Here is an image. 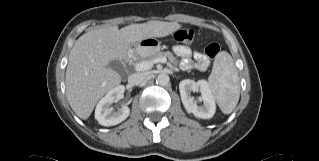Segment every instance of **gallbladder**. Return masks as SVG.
Returning a JSON list of instances; mask_svg holds the SVG:
<instances>
[{
    "mask_svg": "<svg viewBox=\"0 0 319 161\" xmlns=\"http://www.w3.org/2000/svg\"><path fill=\"white\" fill-rule=\"evenodd\" d=\"M109 68L117 71L118 73L122 74L124 71V65L121 61L119 60H113L109 63L108 65Z\"/></svg>",
    "mask_w": 319,
    "mask_h": 161,
    "instance_id": "1",
    "label": "gallbladder"
}]
</instances>
